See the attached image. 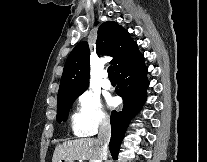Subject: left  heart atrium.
<instances>
[{
    "mask_svg": "<svg viewBox=\"0 0 207 162\" xmlns=\"http://www.w3.org/2000/svg\"><path fill=\"white\" fill-rule=\"evenodd\" d=\"M115 104H116L115 99H113V98H109V99L107 100V105H108V107L112 108V107L115 106Z\"/></svg>",
    "mask_w": 207,
    "mask_h": 162,
    "instance_id": "left-heart-atrium-1",
    "label": "left heart atrium"
}]
</instances>
